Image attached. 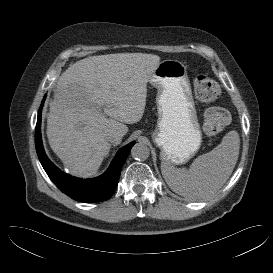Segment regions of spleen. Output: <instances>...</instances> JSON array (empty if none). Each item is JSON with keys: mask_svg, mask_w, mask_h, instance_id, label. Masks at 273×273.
<instances>
[{"mask_svg": "<svg viewBox=\"0 0 273 273\" xmlns=\"http://www.w3.org/2000/svg\"><path fill=\"white\" fill-rule=\"evenodd\" d=\"M240 149L237 131L228 132L222 142L210 152L198 156L189 169L161 163L162 175L177 194L192 200L216 193L228 180L236 165Z\"/></svg>", "mask_w": 273, "mask_h": 273, "instance_id": "1", "label": "spleen"}]
</instances>
